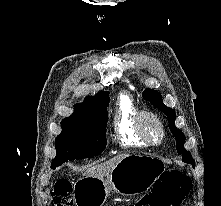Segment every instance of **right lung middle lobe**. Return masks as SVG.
Instances as JSON below:
<instances>
[{
	"mask_svg": "<svg viewBox=\"0 0 221 206\" xmlns=\"http://www.w3.org/2000/svg\"><path fill=\"white\" fill-rule=\"evenodd\" d=\"M107 110L77 114L62 120V132L56 137V157L51 167L80 158L93 157L106 147Z\"/></svg>",
	"mask_w": 221,
	"mask_h": 206,
	"instance_id": "1",
	"label": "right lung middle lobe"
}]
</instances>
